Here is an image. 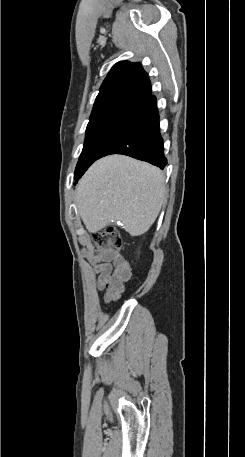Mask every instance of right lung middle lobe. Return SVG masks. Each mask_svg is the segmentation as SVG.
Listing matches in <instances>:
<instances>
[{
  "label": "right lung middle lobe",
  "mask_w": 245,
  "mask_h": 457,
  "mask_svg": "<svg viewBox=\"0 0 245 457\" xmlns=\"http://www.w3.org/2000/svg\"><path fill=\"white\" fill-rule=\"evenodd\" d=\"M129 111H105L91 113L86 129L84 147L76 166L74 179L78 181L88 167L119 129Z\"/></svg>",
  "instance_id": "1"
}]
</instances>
